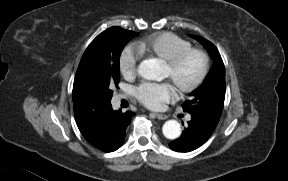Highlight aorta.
<instances>
[{"mask_svg":"<svg viewBox=\"0 0 288 181\" xmlns=\"http://www.w3.org/2000/svg\"><path fill=\"white\" fill-rule=\"evenodd\" d=\"M138 74L147 80H155L160 77L159 64L153 59L142 61L138 66ZM163 135L168 139H176L181 135V126L176 120H168L162 127Z\"/></svg>","mask_w":288,"mask_h":181,"instance_id":"762f6f07","label":"aorta"}]
</instances>
